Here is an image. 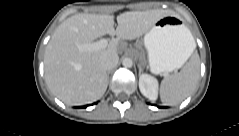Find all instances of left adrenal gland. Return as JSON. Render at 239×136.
<instances>
[{
    "label": "left adrenal gland",
    "mask_w": 239,
    "mask_h": 136,
    "mask_svg": "<svg viewBox=\"0 0 239 136\" xmlns=\"http://www.w3.org/2000/svg\"><path fill=\"white\" fill-rule=\"evenodd\" d=\"M138 68H139V75H141V72H142V66H141L140 63L138 64Z\"/></svg>",
    "instance_id": "obj_1"
}]
</instances>
